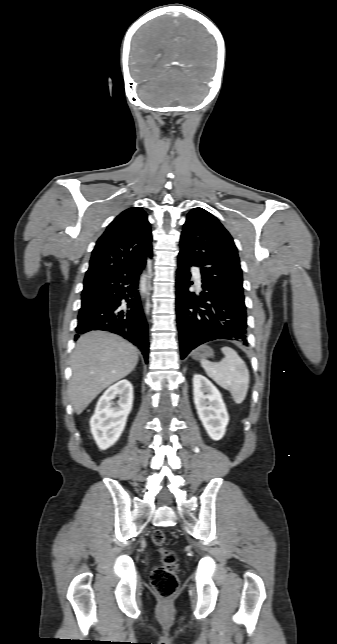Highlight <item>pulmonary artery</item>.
<instances>
[{
  "mask_svg": "<svg viewBox=\"0 0 337 644\" xmlns=\"http://www.w3.org/2000/svg\"><path fill=\"white\" fill-rule=\"evenodd\" d=\"M195 278H196V283L198 286L201 285V280H200V275L197 271H195Z\"/></svg>",
  "mask_w": 337,
  "mask_h": 644,
  "instance_id": "e3ab8cb5",
  "label": "pulmonary artery"
}]
</instances>
